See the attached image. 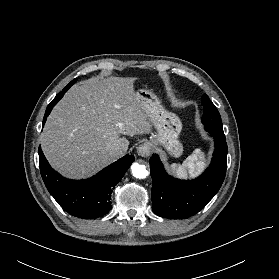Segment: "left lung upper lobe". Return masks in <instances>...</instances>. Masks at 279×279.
Here are the masks:
<instances>
[{
  "mask_svg": "<svg viewBox=\"0 0 279 279\" xmlns=\"http://www.w3.org/2000/svg\"><path fill=\"white\" fill-rule=\"evenodd\" d=\"M202 104L204 107L202 123L205 129L211 133L225 137L220 114L206 94L202 96Z\"/></svg>",
  "mask_w": 279,
  "mask_h": 279,
  "instance_id": "obj_1",
  "label": "left lung upper lobe"
}]
</instances>
